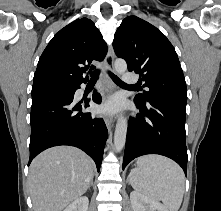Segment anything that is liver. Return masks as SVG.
I'll use <instances>...</instances> for the list:
<instances>
[{
	"label": "liver",
	"instance_id": "liver-1",
	"mask_svg": "<svg viewBox=\"0 0 221 211\" xmlns=\"http://www.w3.org/2000/svg\"><path fill=\"white\" fill-rule=\"evenodd\" d=\"M93 175V161L77 148L57 146L43 151L29 169L34 211H62L87 191Z\"/></svg>",
	"mask_w": 221,
	"mask_h": 211
}]
</instances>
